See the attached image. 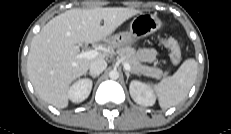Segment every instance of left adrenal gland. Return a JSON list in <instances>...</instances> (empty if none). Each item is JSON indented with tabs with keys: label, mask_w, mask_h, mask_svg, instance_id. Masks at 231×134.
<instances>
[{
	"label": "left adrenal gland",
	"mask_w": 231,
	"mask_h": 134,
	"mask_svg": "<svg viewBox=\"0 0 231 134\" xmlns=\"http://www.w3.org/2000/svg\"><path fill=\"white\" fill-rule=\"evenodd\" d=\"M131 74H133V73L125 70V75L127 77V81H128V79H129V77H130Z\"/></svg>",
	"instance_id": "1"
}]
</instances>
